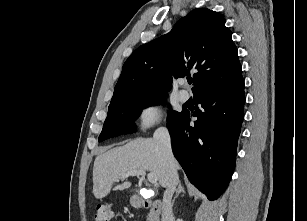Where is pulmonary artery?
Masks as SVG:
<instances>
[{
    "label": "pulmonary artery",
    "instance_id": "1",
    "mask_svg": "<svg viewBox=\"0 0 307 221\" xmlns=\"http://www.w3.org/2000/svg\"><path fill=\"white\" fill-rule=\"evenodd\" d=\"M185 83H186L185 80H183L181 82L182 85H184ZM189 97H190V95H189V92L187 90H184V89L180 90V92H179L180 101L186 102L189 99Z\"/></svg>",
    "mask_w": 307,
    "mask_h": 221
}]
</instances>
